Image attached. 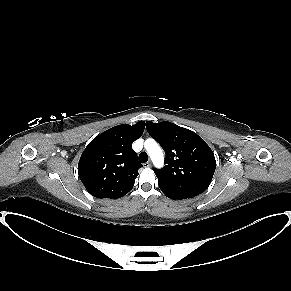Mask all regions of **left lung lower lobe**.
Segmentation results:
<instances>
[{"instance_id":"obj_1","label":"left lung lower lobe","mask_w":291,"mask_h":291,"mask_svg":"<svg viewBox=\"0 0 291 291\" xmlns=\"http://www.w3.org/2000/svg\"><path fill=\"white\" fill-rule=\"evenodd\" d=\"M161 191L170 199H187V198H191L193 196H189V195H185L182 194L180 192H177L173 189H170L168 187L162 186L160 183H158Z\"/></svg>"}]
</instances>
